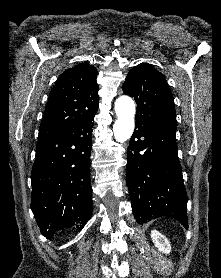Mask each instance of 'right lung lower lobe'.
Segmentation results:
<instances>
[{
    "label": "right lung lower lobe",
    "mask_w": 221,
    "mask_h": 278,
    "mask_svg": "<svg viewBox=\"0 0 221 278\" xmlns=\"http://www.w3.org/2000/svg\"><path fill=\"white\" fill-rule=\"evenodd\" d=\"M94 116L37 145L32 168L31 209L41 234L68 227L82 230L91 218L90 153Z\"/></svg>",
    "instance_id": "right-lung-lower-lobe-1"
}]
</instances>
